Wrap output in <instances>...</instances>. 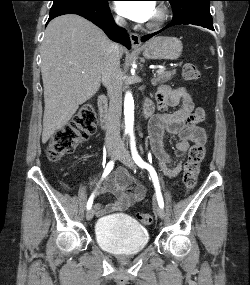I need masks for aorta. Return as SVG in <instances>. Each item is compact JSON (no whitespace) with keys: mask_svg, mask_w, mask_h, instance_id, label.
Segmentation results:
<instances>
[{"mask_svg":"<svg viewBox=\"0 0 250 285\" xmlns=\"http://www.w3.org/2000/svg\"><path fill=\"white\" fill-rule=\"evenodd\" d=\"M125 133H133L134 126V100L132 94L127 92L124 100Z\"/></svg>","mask_w":250,"mask_h":285,"instance_id":"1","label":"aorta"}]
</instances>
